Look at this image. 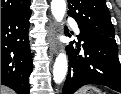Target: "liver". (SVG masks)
Returning a JSON list of instances; mask_svg holds the SVG:
<instances>
[{"mask_svg":"<svg viewBox=\"0 0 121 94\" xmlns=\"http://www.w3.org/2000/svg\"><path fill=\"white\" fill-rule=\"evenodd\" d=\"M1 94H15L11 89L1 85Z\"/></svg>","mask_w":121,"mask_h":94,"instance_id":"6515ba94","label":"liver"}]
</instances>
